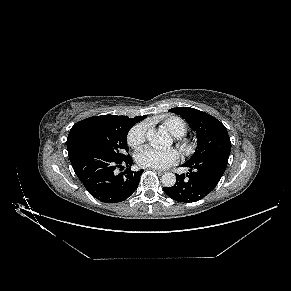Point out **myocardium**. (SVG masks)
<instances>
[{
  "label": "myocardium",
  "mask_w": 291,
  "mask_h": 291,
  "mask_svg": "<svg viewBox=\"0 0 291 291\" xmlns=\"http://www.w3.org/2000/svg\"><path fill=\"white\" fill-rule=\"evenodd\" d=\"M189 147H190V145H189V142L188 141L185 140V141L182 142V148L184 150H188Z\"/></svg>",
  "instance_id": "obj_1"
}]
</instances>
